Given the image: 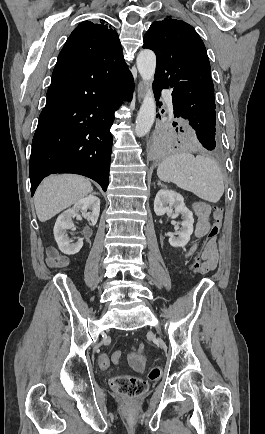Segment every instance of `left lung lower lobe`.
I'll return each mask as SVG.
<instances>
[{"label":"left lung lower lobe","instance_id":"1","mask_svg":"<svg viewBox=\"0 0 265 434\" xmlns=\"http://www.w3.org/2000/svg\"><path fill=\"white\" fill-rule=\"evenodd\" d=\"M160 87L154 85L155 98L158 100L161 94ZM174 118H182L179 111L174 108ZM196 136L199 141V149L203 153H218L221 150V143L217 133L216 126L196 127ZM157 147L162 152H170L173 150H179L173 142L162 139L157 143Z\"/></svg>","mask_w":265,"mask_h":434}]
</instances>
